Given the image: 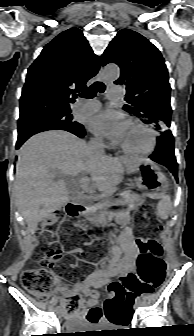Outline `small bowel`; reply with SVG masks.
Masks as SVG:
<instances>
[{"label":"small bowel","mask_w":194,"mask_h":336,"mask_svg":"<svg viewBox=\"0 0 194 336\" xmlns=\"http://www.w3.org/2000/svg\"><path fill=\"white\" fill-rule=\"evenodd\" d=\"M120 220L125 221L126 218L120 217ZM137 258V241L132 229L126 226L119 234L116 244L112 248V255L107 262L96 264L95 269L74 286L60 287L57 290V294L63 297L83 294L87 298L81 302L79 311L70 315L69 318L84 321L89 326L107 322L96 305L98 299L96 290L108 284L115 277L121 279L129 277L136 269ZM144 289L148 290L146 287Z\"/></svg>","instance_id":"1"}]
</instances>
